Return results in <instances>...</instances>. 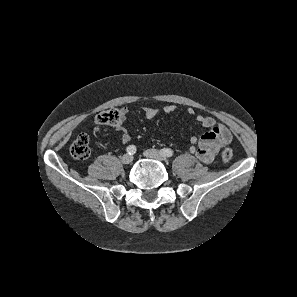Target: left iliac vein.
I'll list each match as a JSON object with an SVG mask.
<instances>
[{
    "label": "left iliac vein",
    "instance_id": "obj_1",
    "mask_svg": "<svg viewBox=\"0 0 297 297\" xmlns=\"http://www.w3.org/2000/svg\"><path fill=\"white\" fill-rule=\"evenodd\" d=\"M143 155L147 158L155 159L158 161H164L166 160V156H164L161 152L155 149H148L145 150Z\"/></svg>",
    "mask_w": 297,
    "mask_h": 297
}]
</instances>
